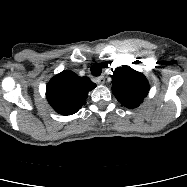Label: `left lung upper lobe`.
<instances>
[{"label":"left lung upper lobe","mask_w":187,"mask_h":187,"mask_svg":"<svg viewBox=\"0 0 187 187\" xmlns=\"http://www.w3.org/2000/svg\"><path fill=\"white\" fill-rule=\"evenodd\" d=\"M112 84V91L117 100L130 109L138 107L149 91L146 77L125 65L114 71Z\"/></svg>","instance_id":"left-lung-upper-lobe-1"}]
</instances>
